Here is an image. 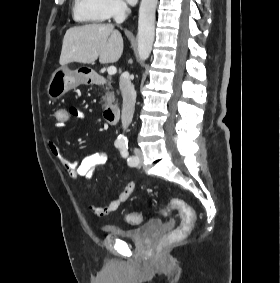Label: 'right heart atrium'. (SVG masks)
<instances>
[{
	"mask_svg": "<svg viewBox=\"0 0 280 283\" xmlns=\"http://www.w3.org/2000/svg\"><path fill=\"white\" fill-rule=\"evenodd\" d=\"M98 9L105 19H120L127 12L123 0H98Z\"/></svg>",
	"mask_w": 280,
	"mask_h": 283,
	"instance_id": "1",
	"label": "right heart atrium"
}]
</instances>
